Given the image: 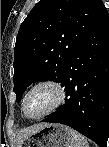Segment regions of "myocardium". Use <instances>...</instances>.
I'll return each mask as SVG.
<instances>
[{
	"label": "myocardium",
	"instance_id": "1",
	"mask_svg": "<svg viewBox=\"0 0 109 147\" xmlns=\"http://www.w3.org/2000/svg\"><path fill=\"white\" fill-rule=\"evenodd\" d=\"M40 88H51L54 90L55 94H56V98L54 100V102L52 103V105L46 109L44 112H42L39 115H33L31 113L28 112L27 110V99L28 97L31 95L32 92H34L37 89ZM66 97V90L64 85L60 82L57 81L55 79H46L43 80L37 84H35L33 87H31L27 93L25 94L24 98H23V102H22V107H23V111L24 113L34 119H39L42 117H45L51 113H53L54 111H56L64 102Z\"/></svg>",
	"mask_w": 109,
	"mask_h": 147
}]
</instances>
